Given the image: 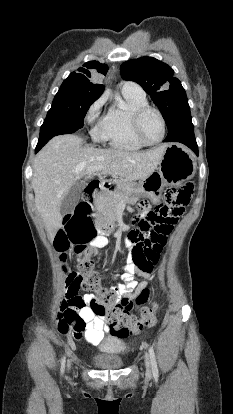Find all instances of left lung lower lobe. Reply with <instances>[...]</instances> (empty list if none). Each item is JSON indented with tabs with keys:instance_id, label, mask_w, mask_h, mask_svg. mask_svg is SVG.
<instances>
[{
	"instance_id": "left-lung-lower-lobe-1",
	"label": "left lung lower lobe",
	"mask_w": 233,
	"mask_h": 414,
	"mask_svg": "<svg viewBox=\"0 0 233 414\" xmlns=\"http://www.w3.org/2000/svg\"><path fill=\"white\" fill-rule=\"evenodd\" d=\"M164 142H179L191 148L198 155V146L194 136V126L191 121L190 109L180 113L173 124Z\"/></svg>"
}]
</instances>
